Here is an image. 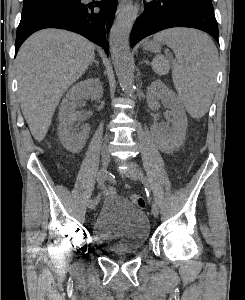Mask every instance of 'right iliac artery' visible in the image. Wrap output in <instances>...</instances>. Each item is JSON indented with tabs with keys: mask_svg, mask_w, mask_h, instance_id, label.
<instances>
[{
	"mask_svg": "<svg viewBox=\"0 0 245 300\" xmlns=\"http://www.w3.org/2000/svg\"><path fill=\"white\" fill-rule=\"evenodd\" d=\"M97 182L102 185L104 182H110V177H107L106 173L104 171H100L98 173ZM94 204L96 206L101 204V197L100 195L95 196L94 198Z\"/></svg>",
	"mask_w": 245,
	"mask_h": 300,
	"instance_id": "right-iliac-artery-1",
	"label": "right iliac artery"
}]
</instances>
